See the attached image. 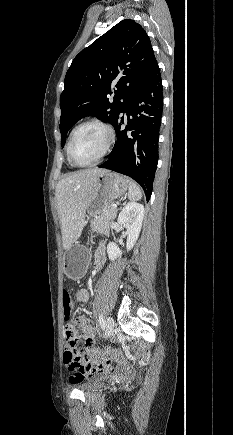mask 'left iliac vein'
<instances>
[{"instance_id":"left-iliac-vein-1","label":"left iliac vein","mask_w":233,"mask_h":435,"mask_svg":"<svg viewBox=\"0 0 233 435\" xmlns=\"http://www.w3.org/2000/svg\"><path fill=\"white\" fill-rule=\"evenodd\" d=\"M114 329V320L112 317H107L105 321V334L107 337L111 336Z\"/></svg>"}]
</instances>
